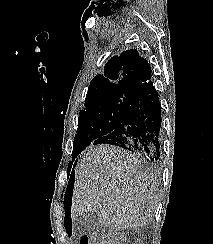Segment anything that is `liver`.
<instances>
[{"label":"liver","mask_w":213,"mask_h":244,"mask_svg":"<svg viewBox=\"0 0 213 244\" xmlns=\"http://www.w3.org/2000/svg\"><path fill=\"white\" fill-rule=\"evenodd\" d=\"M159 197L157 176L143 160L119 147L92 146L76 172L71 218L92 212L110 229L146 227Z\"/></svg>","instance_id":"6515ba94"}]
</instances>
